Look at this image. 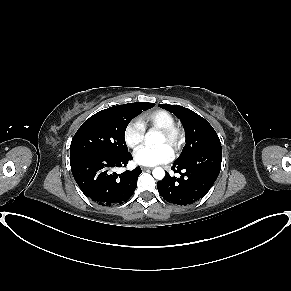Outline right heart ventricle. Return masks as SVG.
I'll use <instances>...</instances> for the list:
<instances>
[{"label":"right heart ventricle","instance_id":"right-heart-ventricle-1","mask_svg":"<svg viewBox=\"0 0 291 291\" xmlns=\"http://www.w3.org/2000/svg\"><path fill=\"white\" fill-rule=\"evenodd\" d=\"M139 121L144 128L150 127L158 130L175 124L174 116L163 109L145 112L139 117Z\"/></svg>","mask_w":291,"mask_h":291}]
</instances>
